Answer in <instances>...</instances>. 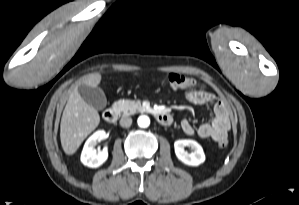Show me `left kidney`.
Instances as JSON below:
<instances>
[{
    "instance_id": "obj_1",
    "label": "left kidney",
    "mask_w": 299,
    "mask_h": 205,
    "mask_svg": "<svg viewBox=\"0 0 299 205\" xmlns=\"http://www.w3.org/2000/svg\"><path fill=\"white\" fill-rule=\"evenodd\" d=\"M186 146L192 149L191 153L185 151ZM174 149L177 158L186 165L198 166L205 161L203 148L194 140H177L174 143Z\"/></svg>"
}]
</instances>
